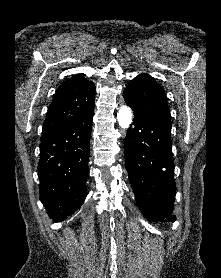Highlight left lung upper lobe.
<instances>
[{"instance_id":"left-lung-upper-lobe-1","label":"left lung upper lobe","mask_w":221,"mask_h":278,"mask_svg":"<svg viewBox=\"0 0 221 278\" xmlns=\"http://www.w3.org/2000/svg\"><path fill=\"white\" fill-rule=\"evenodd\" d=\"M123 97L135 113L144 115L169 114L162 87L148 74H140L126 87Z\"/></svg>"}]
</instances>
